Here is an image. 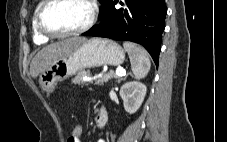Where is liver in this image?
Returning <instances> with one entry per match:
<instances>
[{
  "label": "liver",
  "mask_w": 227,
  "mask_h": 142,
  "mask_svg": "<svg viewBox=\"0 0 227 142\" xmlns=\"http://www.w3.org/2000/svg\"><path fill=\"white\" fill-rule=\"evenodd\" d=\"M87 39L79 36L70 37L42 48L32 59L30 75L37 78L39 74L50 67L56 60L72 53Z\"/></svg>",
  "instance_id": "6515ba94"
}]
</instances>
